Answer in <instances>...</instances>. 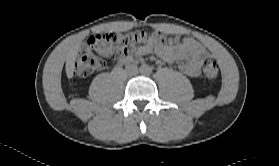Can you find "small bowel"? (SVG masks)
<instances>
[{
    "label": "small bowel",
    "instance_id": "1",
    "mask_svg": "<svg viewBox=\"0 0 279 166\" xmlns=\"http://www.w3.org/2000/svg\"><path fill=\"white\" fill-rule=\"evenodd\" d=\"M151 51H154L166 62L182 60L180 69L191 77L199 75L201 60L207 54L205 48L198 41L192 38H186L184 41H180L176 38L174 43L165 46L148 44L138 47L131 55L125 57L122 63H131L134 57H141Z\"/></svg>",
    "mask_w": 279,
    "mask_h": 166
}]
</instances>
